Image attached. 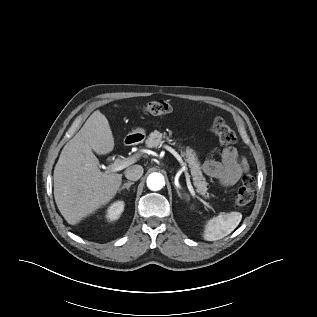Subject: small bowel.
I'll list each match as a JSON object with an SVG mask.
<instances>
[{
    "instance_id": "small-bowel-1",
    "label": "small bowel",
    "mask_w": 317,
    "mask_h": 317,
    "mask_svg": "<svg viewBox=\"0 0 317 317\" xmlns=\"http://www.w3.org/2000/svg\"><path fill=\"white\" fill-rule=\"evenodd\" d=\"M247 161L241 157L238 150L226 147L221 154V160H207L202 165L203 173L211 179L218 181L222 186L234 185L247 168Z\"/></svg>"
}]
</instances>
